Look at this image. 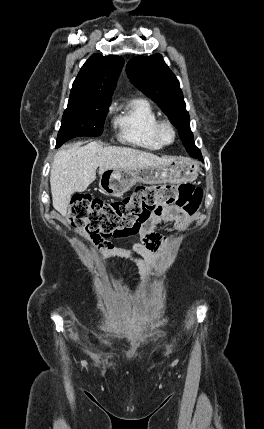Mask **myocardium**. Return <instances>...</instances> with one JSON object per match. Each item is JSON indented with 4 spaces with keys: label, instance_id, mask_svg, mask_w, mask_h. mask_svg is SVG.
<instances>
[{
    "label": "myocardium",
    "instance_id": "obj_1",
    "mask_svg": "<svg viewBox=\"0 0 264 429\" xmlns=\"http://www.w3.org/2000/svg\"><path fill=\"white\" fill-rule=\"evenodd\" d=\"M168 130L170 132V139H166L164 136V132ZM155 135L157 139L163 145H169L174 142L176 137V130L174 125L168 120H159L155 126Z\"/></svg>",
    "mask_w": 264,
    "mask_h": 429
}]
</instances>
